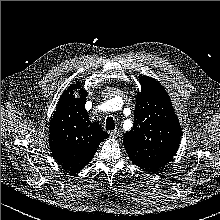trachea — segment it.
<instances>
[{
	"label": "trachea",
	"instance_id": "1",
	"mask_svg": "<svg viewBox=\"0 0 220 220\" xmlns=\"http://www.w3.org/2000/svg\"><path fill=\"white\" fill-rule=\"evenodd\" d=\"M115 129V121L112 117H108L106 119V130H114Z\"/></svg>",
	"mask_w": 220,
	"mask_h": 220
}]
</instances>
